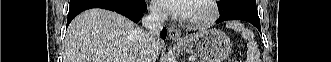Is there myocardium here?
Here are the masks:
<instances>
[{"instance_id":"1","label":"myocardium","mask_w":331,"mask_h":62,"mask_svg":"<svg viewBox=\"0 0 331 62\" xmlns=\"http://www.w3.org/2000/svg\"><path fill=\"white\" fill-rule=\"evenodd\" d=\"M197 1L203 3L206 6L208 12L206 15L187 18L186 19L187 25L193 28H200L212 24L218 18L220 13L217 2L214 0H197Z\"/></svg>"}]
</instances>
